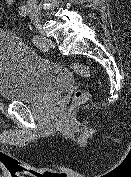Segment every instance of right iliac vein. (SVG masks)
I'll return each instance as SVG.
<instances>
[{
  "label": "right iliac vein",
  "mask_w": 131,
  "mask_h": 177,
  "mask_svg": "<svg viewBox=\"0 0 131 177\" xmlns=\"http://www.w3.org/2000/svg\"><path fill=\"white\" fill-rule=\"evenodd\" d=\"M29 14L31 16V19L34 23V25L39 29L41 35H42V39L43 41H46V37H45V33L44 31L41 29V23H40V18L39 16L37 15L36 11L34 9H30L29 10Z\"/></svg>",
  "instance_id": "right-iliac-vein-1"
}]
</instances>
